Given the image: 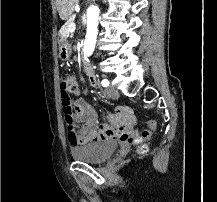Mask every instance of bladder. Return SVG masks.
<instances>
[{
    "instance_id": "1",
    "label": "bladder",
    "mask_w": 217,
    "mask_h": 202,
    "mask_svg": "<svg viewBox=\"0 0 217 202\" xmlns=\"http://www.w3.org/2000/svg\"><path fill=\"white\" fill-rule=\"evenodd\" d=\"M117 143L106 140L85 144L80 149L72 150V157L86 163H104L116 151Z\"/></svg>"
}]
</instances>
